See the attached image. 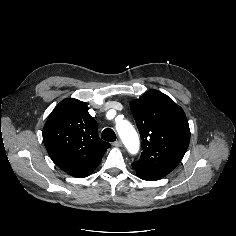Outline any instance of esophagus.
Instances as JSON below:
<instances>
[{"instance_id": "1", "label": "esophagus", "mask_w": 236, "mask_h": 236, "mask_svg": "<svg viewBox=\"0 0 236 236\" xmlns=\"http://www.w3.org/2000/svg\"><path fill=\"white\" fill-rule=\"evenodd\" d=\"M112 145L115 146V147H121L122 142L120 140H117V141L113 142Z\"/></svg>"}]
</instances>
